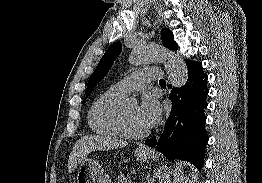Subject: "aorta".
Instances as JSON below:
<instances>
[{
  "label": "aorta",
  "mask_w": 262,
  "mask_h": 183,
  "mask_svg": "<svg viewBox=\"0 0 262 183\" xmlns=\"http://www.w3.org/2000/svg\"><path fill=\"white\" fill-rule=\"evenodd\" d=\"M129 61L136 66L149 63H163L171 85L177 88L184 86L188 80L187 65L181 56L159 45L134 48ZM134 102L135 99L133 98L127 100V103Z\"/></svg>",
  "instance_id": "762f6f07"
}]
</instances>
